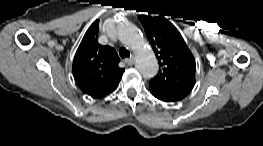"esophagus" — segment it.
Listing matches in <instances>:
<instances>
[{
    "instance_id": "obj_1",
    "label": "esophagus",
    "mask_w": 263,
    "mask_h": 146,
    "mask_svg": "<svg viewBox=\"0 0 263 146\" xmlns=\"http://www.w3.org/2000/svg\"><path fill=\"white\" fill-rule=\"evenodd\" d=\"M125 62L127 63V65H133L134 64V58L133 57H130L128 59L125 60Z\"/></svg>"
}]
</instances>
